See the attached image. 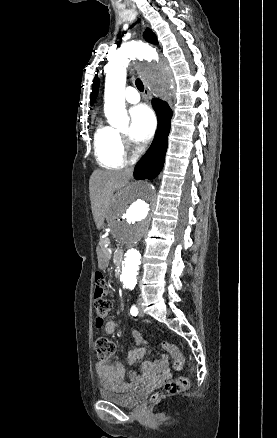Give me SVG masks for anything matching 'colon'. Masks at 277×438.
<instances>
[{"mask_svg":"<svg viewBox=\"0 0 277 438\" xmlns=\"http://www.w3.org/2000/svg\"><path fill=\"white\" fill-rule=\"evenodd\" d=\"M94 282V307L97 316L99 318H105L111 308V302L107 299L109 288L105 275L101 271L96 272ZM94 342L98 358L101 361L108 359L115 352L116 345L114 341L105 335L96 336ZM165 347L174 358V367L176 369H180L184 363L183 353L172 346L166 345ZM189 384L190 380L188 377H179L173 380H167L165 389H153L151 393L148 394V408L156 409L158 406L157 402H160L162 398H176L177 392L183 391L189 386Z\"/></svg>","mask_w":277,"mask_h":438,"instance_id":"5ec220e1","label":"colon"}]
</instances>
